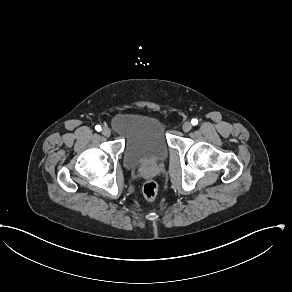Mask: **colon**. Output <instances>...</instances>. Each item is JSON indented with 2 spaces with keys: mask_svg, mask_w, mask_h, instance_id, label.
I'll return each instance as SVG.
<instances>
[{
  "mask_svg": "<svg viewBox=\"0 0 292 292\" xmlns=\"http://www.w3.org/2000/svg\"><path fill=\"white\" fill-rule=\"evenodd\" d=\"M143 197L146 201L151 202L153 201L158 193V187L154 180L148 179L143 184Z\"/></svg>",
  "mask_w": 292,
  "mask_h": 292,
  "instance_id": "5ec220e1",
  "label": "colon"
}]
</instances>
